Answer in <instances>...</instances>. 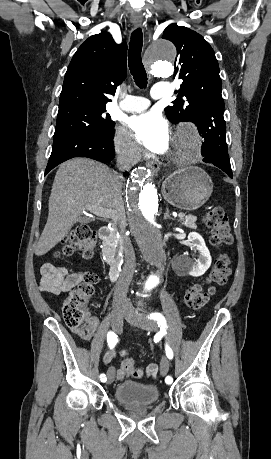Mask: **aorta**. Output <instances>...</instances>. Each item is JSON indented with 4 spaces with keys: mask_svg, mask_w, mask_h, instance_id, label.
<instances>
[{
    "mask_svg": "<svg viewBox=\"0 0 271 459\" xmlns=\"http://www.w3.org/2000/svg\"><path fill=\"white\" fill-rule=\"evenodd\" d=\"M175 54L171 42L157 41L147 54L151 74L157 77L170 76L173 72L170 61ZM200 157V139L195 131L192 128L181 130L171 162L177 167H185L196 163ZM126 200L130 228L143 258L149 264L161 267L164 263V249L157 223L158 194L155 185L149 181V170L146 167H138L131 173ZM158 283L159 277L152 274L147 278L146 289L150 290Z\"/></svg>",
    "mask_w": 271,
    "mask_h": 459,
    "instance_id": "aorta-1",
    "label": "aorta"
}]
</instances>
